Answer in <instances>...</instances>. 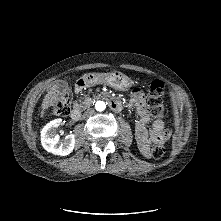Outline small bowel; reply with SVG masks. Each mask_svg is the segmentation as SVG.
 Masks as SVG:
<instances>
[{
  "label": "small bowel",
  "instance_id": "c3829d8e",
  "mask_svg": "<svg viewBox=\"0 0 221 221\" xmlns=\"http://www.w3.org/2000/svg\"><path fill=\"white\" fill-rule=\"evenodd\" d=\"M132 104L138 114V121L135 127L137 143L141 152L149 156L150 145L152 143H163L168 138L169 133L163 121L155 120L150 123L149 115L145 106V97L141 88L132 90Z\"/></svg>",
  "mask_w": 221,
  "mask_h": 221
}]
</instances>
